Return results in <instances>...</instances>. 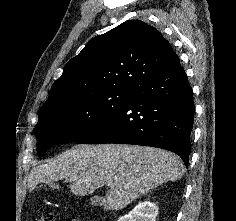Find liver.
I'll return each mask as SVG.
<instances>
[{
  "label": "liver",
  "mask_w": 236,
  "mask_h": 221,
  "mask_svg": "<svg viewBox=\"0 0 236 221\" xmlns=\"http://www.w3.org/2000/svg\"><path fill=\"white\" fill-rule=\"evenodd\" d=\"M185 172L181 159L163 149L123 144L80 145L32 168L28 186L66 179L74 195L92 194L105 185L110 189L105 210H121L140 196Z\"/></svg>",
  "instance_id": "obj_1"
}]
</instances>
